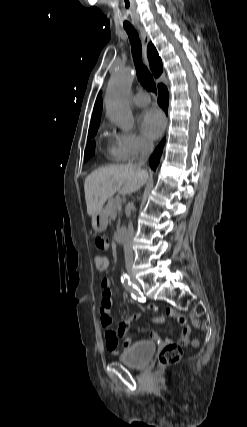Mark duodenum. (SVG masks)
I'll return each instance as SVG.
<instances>
[{"label": "duodenum", "instance_id": "410a0bca", "mask_svg": "<svg viewBox=\"0 0 247 427\" xmlns=\"http://www.w3.org/2000/svg\"><path fill=\"white\" fill-rule=\"evenodd\" d=\"M116 242L119 245H123L125 243V229L121 228L116 234Z\"/></svg>", "mask_w": 247, "mask_h": 427}]
</instances>
